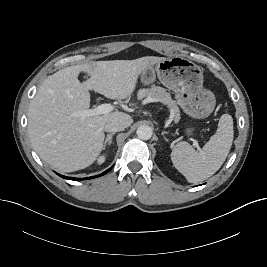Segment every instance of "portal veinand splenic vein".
I'll list each match as a JSON object with an SVG mask.
<instances>
[{
    "label": "portal vein and splenic vein",
    "mask_w": 267,
    "mask_h": 267,
    "mask_svg": "<svg viewBox=\"0 0 267 267\" xmlns=\"http://www.w3.org/2000/svg\"><path fill=\"white\" fill-rule=\"evenodd\" d=\"M113 109H114V106L111 105V104H101L95 109H89V110L81 112L80 116L82 118H85V117H88V116H95V115H99V114H107V113L111 112ZM194 146L198 150H201L197 141L194 142Z\"/></svg>",
    "instance_id": "portal-vein-and-splenic-vein-1"
}]
</instances>
